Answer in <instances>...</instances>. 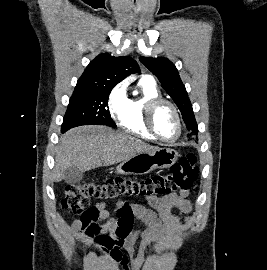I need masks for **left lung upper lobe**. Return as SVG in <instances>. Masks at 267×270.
I'll list each match as a JSON object with an SVG mask.
<instances>
[{
  "label": "left lung upper lobe",
  "mask_w": 267,
  "mask_h": 270,
  "mask_svg": "<svg viewBox=\"0 0 267 270\" xmlns=\"http://www.w3.org/2000/svg\"><path fill=\"white\" fill-rule=\"evenodd\" d=\"M139 60L159 79L182 113L187 129L197 134L198 126L191 102L175 65L167 58L140 57Z\"/></svg>",
  "instance_id": "left-lung-upper-lobe-1"
}]
</instances>
